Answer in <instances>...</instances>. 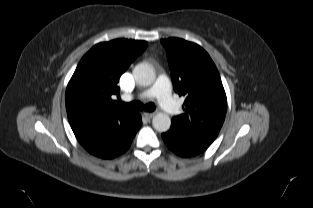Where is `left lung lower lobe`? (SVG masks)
<instances>
[{"instance_id":"0a47b994","label":"left lung lower lobe","mask_w":313,"mask_h":208,"mask_svg":"<svg viewBox=\"0 0 313 208\" xmlns=\"http://www.w3.org/2000/svg\"><path fill=\"white\" fill-rule=\"evenodd\" d=\"M166 145L181 157H191L204 152L214 141L213 138L191 135L171 125L170 130L162 134Z\"/></svg>"}]
</instances>
